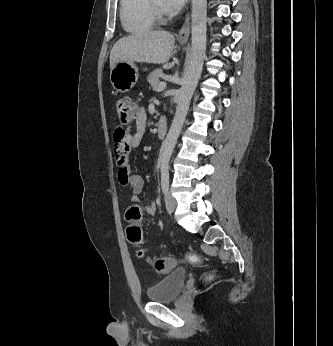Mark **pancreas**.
<instances>
[{"label": "pancreas", "instance_id": "pancreas-1", "mask_svg": "<svg viewBox=\"0 0 333 346\" xmlns=\"http://www.w3.org/2000/svg\"><path fill=\"white\" fill-rule=\"evenodd\" d=\"M162 76V69H155L148 75L147 81L154 90H157L158 85L160 84V78H162Z\"/></svg>", "mask_w": 333, "mask_h": 346}]
</instances>
